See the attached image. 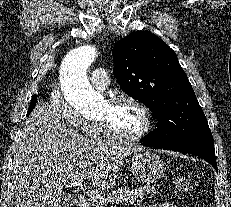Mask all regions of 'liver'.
Returning <instances> with one entry per match:
<instances>
[{"mask_svg": "<svg viewBox=\"0 0 231 207\" xmlns=\"http://www.w3.org/2000/svg\"><path fill=\"white\" fill-rule=\"evenodd\" d=\"M135 144L92 140L70 128L57 109L38 102L27 118L13 158L15 207H58L63 179L91 180L98 190L115 183Z\"/></svg>", "mask_w": 231, "mask_h": 207, "instance_id": "obj_1", "label": "liver"}]
</instances>
